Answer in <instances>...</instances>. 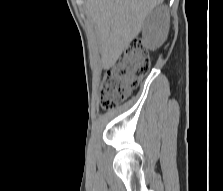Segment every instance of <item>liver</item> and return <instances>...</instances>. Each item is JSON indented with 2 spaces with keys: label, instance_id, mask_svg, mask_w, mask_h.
I'll return each instance as SVG.
<instances>
[{
  "label": "liver",
  "instance_id": "1",
  "mask_svg": "<svg viewBox=\"0 0 223 191\" xmlns=\"http://www.w3.org/2000/svg\"><path fill=\"white\" fill-rule=\"evenodd\" d=\"M164 0H86L95 23L105 69L114 66L122 52L141 32L145 19Z\"/></svg>",
  "mask_w": 223,
  "mask_h": 191
}]
</instances>
